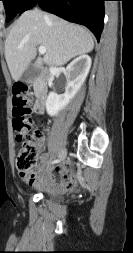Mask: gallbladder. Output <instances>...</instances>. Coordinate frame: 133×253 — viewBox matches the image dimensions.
<instances>
[{
  "instance_id": "bac80fb5",
  "label": "gallbladder",
  "mask_w": 133,
  "mask_h": 253,
  "mask_svg": "<svg viewBox=\"0 0 133 253\" xmlns=\"http://www.w3.org/2000/svg\"><path fill=\"white\" fill-rule=\"evenodd\" d=\"M39 70L34 64H31L23 73L22 81L25 83H32L38 76Z\"/></svg>"
}]
</instances>
